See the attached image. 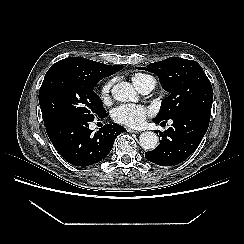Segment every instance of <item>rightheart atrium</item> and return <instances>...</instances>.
<instances>
[{"mask_svg": "<svg viewBox=\"0 0 244 244\" xmlns=\"http://www.w3.org/2000/svg\"><path fill=\"white\" fill-rule=\"evenodd\" d=\"M111 81L105 83L101 90H100V99L103 103H108L110 100V88H111Z\"/></svg>", "mask_w": 244, "mask_h": 244, "instance_id": "1", "label": "right heart atrium"}]
</instances>
